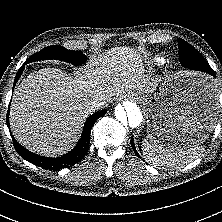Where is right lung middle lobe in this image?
Masks as SVG:
<instances>
[{"mask_svg": "<svg viewBox=\"0 0 222 222\" xmlns=\"http://www.w3.org/2000/svg\"><path fill=\"white\" fill-rule=\"evenodd\" d=\"M47 59H56L62 60L74 65H80L86 61V56L83 54L82 51H73L65 49L62 46H49L45 47L39 52L33 54L30 58L26 61L34 62L39 60H47Z\"/></svg>", "mask_w": 222, "mask_h": 222, "instance_id": "dd1d6c3e", "label": "right lung middle lobe"}]
</instances>
